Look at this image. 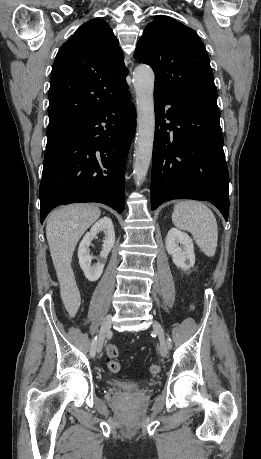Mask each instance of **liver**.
<instances>
[{
    "label": "liver",
    "instance_id": "1",
    "mask_svg": "<svg viewBox=\"0 0 261 459\" xmlns=\"http://www.w3.org/2000/svg\"><path fill=\"white\" fill-rule=\"evenodd\" d=\"M100 215L101 211L95 205L71 204L55 210L47 219L46 237L64 299L67 292L75 290L71 268L75 247Z\"/></svg>",
    "mask_w": 261,
    "mask_h": 459
}]
</instances>
